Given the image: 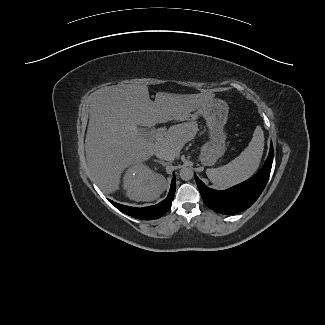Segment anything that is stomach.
Returning <instances> with one entry per match:
<instances>
[{
    "mask_svg": "<svg viewBox=\"0 0 325 325\" xmlns=\"http://www.w3.org/2000/svg\"><path fill=\"white\" fill-rule=\"evenodd\" d=\"M228 111V104L221 99H212L198 109L197 114L205 118L210 136V140L202 146L199 156L203 165L215 164L225 153L224 126L228 119Z\"/></svg>",
    "mask_w": 325,
    "mask_h": 325,
    "instance_id": "obj_1",
    "label": "stomach"
}]
</instances>
